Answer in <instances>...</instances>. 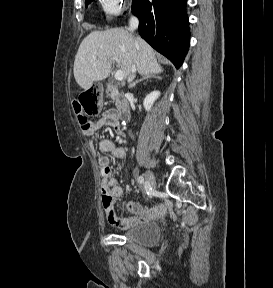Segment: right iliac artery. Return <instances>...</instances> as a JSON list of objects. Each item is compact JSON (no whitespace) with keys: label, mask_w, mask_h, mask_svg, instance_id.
I'll return each mask as SVG.
<instances>
[{"label":"right iliac artery","mask_w":273,"mask_h":288,"mask_svg":"<svg viewBox=\"0 0 273 288\" xmlns=\"http://www.w3.org/2000/svg\"><path fill=\"white\" fill-rule=\"evenodd\" d=\"M137 182H138L139 184H143V183H144V177H143V176H139V177L137 178Z\"/></svg>","instance_id":"right-iliac-artery-1"}]
</instances>
